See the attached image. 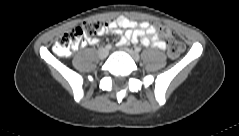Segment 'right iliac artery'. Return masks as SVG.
<instances>
[{
    "label": "right iliac artery",
    "instance_id": "right-iliac-artery-1",
    "mask_svg": "<svg viewBox=\"0 0 239 136\" xmlns=\"http://www.w3.org/2000/svg\"><path fill=\"white\" fill-rule=\"evenodd\" d=\"M105 48L109 50V49L112 48V45L111 44H107Z\"/></svg>",
    "mask_w": 239,
    "mask_h": 136
}]
</instances>
